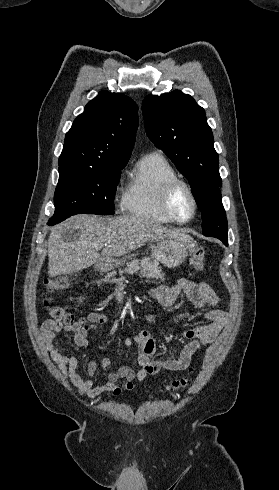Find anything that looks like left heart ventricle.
Instances as JSON below:
<instances>
[{"label": "left heart ventricle", "mask_w": 279, "mask_h": 490, "mask_svg": "<svg viewBox=\"0 0 279 490\" xmlns=\"http://www.w3.org/2000/svg\"><path fill=\"white\" fill-rule=\"evenodd\" d=\"M192 209V202L187 191L185 189H181L175 199V210L177 216L180 219L185 220L191 215Z\"/></svg>", "instance_id": "obj_1"}]
</instances>
